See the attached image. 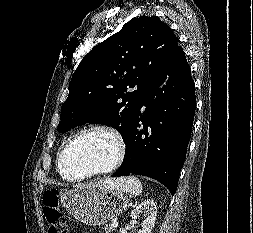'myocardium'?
<instances>
[{
    "mask_svg": "<svg viewBox=\"0 0 253 233\" xmlns=\"http://www.w3.org/2000/svg\"><path fill=\"white\" fill-rule=\"evenodd\" d=\"M94 132L105 133L114 140L115 145H116V154L113 161L106 167L90 171L81 176H76V177L67 176L62 170V161L68 147L76 140ZM126 149L127 148H126L125 139L122 133L118 129L107 124H93L76 132L75 134L70 136L68 140L64 143V145L62 146L61 150L58 153L57 170L60 176L68 182H79V181H83L97 175L108 174V173L113 172L115 169H117L121 165L126 155Z\"/></svg>",
    "mask_w": 253,
    "mask_h": 233,
    "instance_id": "myocardium-1",
    "label": "myocardium"
}]
</instances>
